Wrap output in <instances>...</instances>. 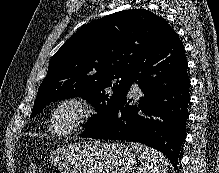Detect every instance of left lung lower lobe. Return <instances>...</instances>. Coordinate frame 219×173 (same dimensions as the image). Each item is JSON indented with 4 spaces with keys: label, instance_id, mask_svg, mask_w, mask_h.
Masks as SVG:
<instances>
[{
    "label": "left lung lower lobe",
    "instance_id": "left-lung-lower-lobe-1",
    "mask_svg": "<svg viewBox=\"0 0 219 173\" xmlns=\"http://www.w3.org/2000/svg\"><path fill=\"white\" fill-rule=\"evenodd\" d=\"M187 67L183 43L173 30L132 71V83L144 94L139 104L131 105L126 95L105 124L80 136L143 143L165 154L176 169L189 117Z\"/></svg>",
    "mask_w": 219,
    "mask_h": 173
}]
</instances>
